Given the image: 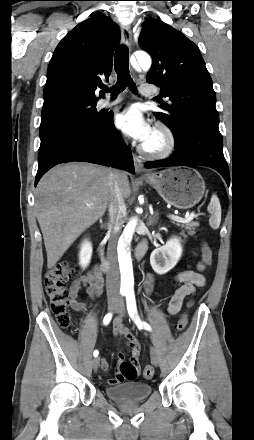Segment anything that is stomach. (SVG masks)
Instances as JSON below:
<instances>
[{"label": "stomach", "mask_w": 254, "mask_h": 440, "mask_svg": "<svg viewBox=\"0 0 254 440\" xmlns=\"http://www.w3.org/2000/svg\"><path fill=\"white\" fill-rule=\"evenodd\" d=\"M143 180L155 188L167 203L179 209L195 206L205 192V182L200 173L188 167L168 168L145 176Z\"/></svg>", "instance_id": "obj_1"}]
</instances>
